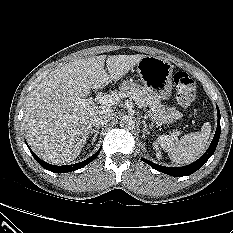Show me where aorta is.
Segmentation results:
<instances>
[{
	"label": "aorta",
	"instance_id": "aorta-1",
	"mask_svg": "<svg viewBox=\"0 0 233 233\" xmlns=\"http://www.w3.org/2000/svg\"><path fill=\"white\" fill-rule=\"evenodd\" d=\"M120 126L125 129H133L135 126V121L131 116H123L120 118Z\"/></svg>",
	"mask_w": 233,
	"mask_h": 233
}]
</instances>
